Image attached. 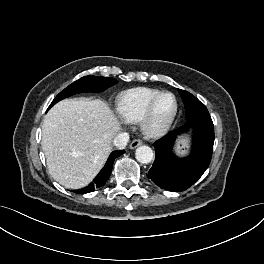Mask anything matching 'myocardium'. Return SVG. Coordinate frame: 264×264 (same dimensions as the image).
<instances>
[{
    "label": "myocardium",
    "instance_id": "1",
    "mask_svg": "<svg viewBox=\"0 0 264 264\" xmlns=\"http://www.w3.org/2000/svg\"><path fill=\"white\" fill-rule=\"evenodd\" d=\"M166 95H170L174 99V110L172 114L163 122L156 123L155 122V110L159 103V101ZM178 100L176 96L172 92H161L157 95L148 105L145 113L143 114L142 118L140 119V127L142 132L150 138H158L166 134L169 129L171 128L172 124L178 113Z\"/></svg>",
    "mask_w": 264,
    "mask_h": 264
}]
</instances>
